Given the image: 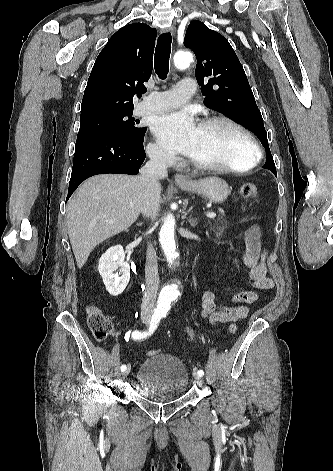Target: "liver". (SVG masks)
Returning <instances> with one entry per match:
<instances>
[{
    "label": "liver",
    "instance_id": "1",
    "mask_svg": "<svg viewBox=\"0 0 333 471\" xmlns=\"http://www.w3.org/2000/svg\"><path fill=\"white\" fill-rule=\"evenodd\" d=\"M142 194L140 176L121 174L96 175L78 188L68 203L67 227L79 268L98 244L137 220Z\"/></svg>",
    "mask_w": 333,
    "mask_h": 471
}]
</instances>
